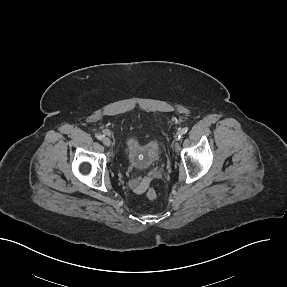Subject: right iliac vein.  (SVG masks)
I'll return each mask as SVG.
<instances>
[{"label": "right iliac vein", "instance_id": "1", "mask_svg": "<svg viewBox=\"0 0 287 287\" xmlns=\"http://www.w3.org/2000/svg\"><path fill=\"white\" fill-rule=\"evenodd\" d=\"M103 144L107 147H109L111 145V140L109 138H104L103 139Z\"/></svg>", "mask_w": 287, "mask_h": 287}]
</instances>
